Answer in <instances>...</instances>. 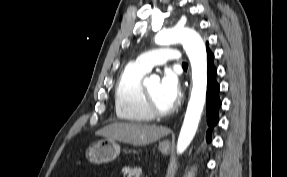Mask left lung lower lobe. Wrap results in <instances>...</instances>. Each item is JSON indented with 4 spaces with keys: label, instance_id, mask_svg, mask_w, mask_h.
Wrapping results in <instances>:
<instances>
[{
    "label": "left lung lower lobe",
    "instance_id": "left-lung-lower-lobe-1",
    "mask_svg": "<svg viewBox=\"0 0 287 177\" xmlns=\"http://www.w3.org/2000/svg\"><path fill=\"white\" fill-rule=\"evenodd\" d=\"M207 45V124L209 126L206 134L207 142L211 140V131L219 122L218 112L221 107L219 98V84L216 81L217 69L214 66V54Z\"/></svg>",
    "mask_w": 287,
    "mask_h": 177
}]
</instances>
